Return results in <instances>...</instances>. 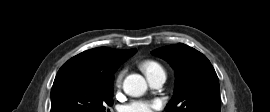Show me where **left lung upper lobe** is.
<instances>
[{
	"label": "left lung upper lobe",
	"mask_w": 270,
	"mask_h": 112,
	"mask_svg": "<svg viewBox=\"0 0 270 112\" xmlns=\"http://www.w3.org/2000/svg\"><path fill=\"white\" fill-rule=\"evenodd\" d=\"M152 54L175 69L176 89L166 112H220L218 77L201 52L178 43L158 48Z\"/></svg>",
	"instance_id": "5c2ea615"
}]
</instances>
